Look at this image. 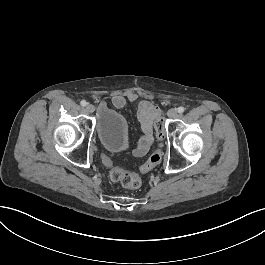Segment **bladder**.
<instances>
[{"label":"bladder","instance_id":"1","mask_svg":"<svg viewBox=\"0 0 265 265\" xmlns=\"http://www.w3.org/2000/svg\"><path fill=\"white\" fill-rule=\"evenodd\" d=\"M96 134L108 151L119 152L129 145V130L125 117L115 109L103 108L98 115Z\"/></svg>","mask_w":265,"mask_h":265}]
</instances>
